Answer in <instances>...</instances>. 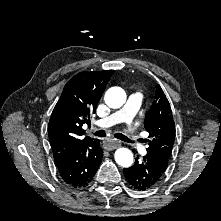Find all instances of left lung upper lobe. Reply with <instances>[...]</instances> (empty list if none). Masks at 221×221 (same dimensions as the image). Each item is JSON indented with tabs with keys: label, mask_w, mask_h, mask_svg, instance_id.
<instances>
[{
	"label": "left lung upper lobe",
	"mask_w": 221,
	"mask_h": 221,
	"mask_svg": "<svg viewBox=\"0 0 221 221\" xmlns=\"http://www.w3.org/2000/svg\"><path fill=\"white\" fill-rule=\"evenodd\" d=\"M144 127L151 138L148 140L147 156L167 166L175 140V124L170 104L158 84L154 101L145 115Z\"/></svg>",
	"instance_id": "left-lung-upper-lobe-1"
}]
</instances>
